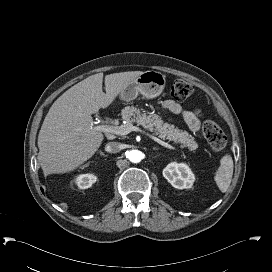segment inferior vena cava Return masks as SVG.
<instances>
[{"mask_svg":"<svg viewBox=\"0 0 272 272\" xmlns=\"http://www.w3.org/2000/svg\"><path fill=\"white\" fill-rule=\"evenodd\" d=\"M121 149L122 145L118 142H109L105 147V150L110 153H118Z\"/></svg>","mask_w":272,"mask_h":272,"instance_id":"602c4592","label":"inferior vena cava"}]
</instances>
